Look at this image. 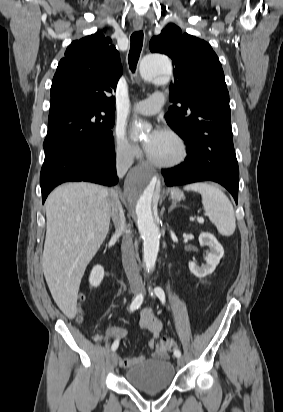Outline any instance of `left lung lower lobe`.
<instances>
[{
    "label": "left lung lower lobe",
    "mask_w": 283,
    "mask_h": 412,
    "mask_svg": "<svg viewBox=\"0 0 283 412\" xmlns=\"http://www.w3.org/2000/svg\"><path fill=\"white\" fill-rule=\"evenodd\" d=\"M185 141L188 156L184 163L162 170L167 186H176L198 181L211 180L223 185L237 203L239 177L227 174L224 165L215 156L207 153L193 136ZM225 162L224 159H222Z\"/></svg>",
    "instance_id": "1"
}]
</instances>
